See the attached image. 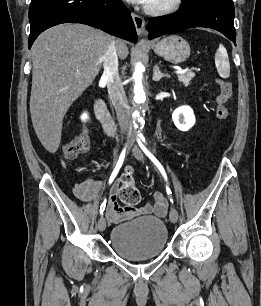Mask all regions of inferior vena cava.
Returning a JSON list of instances; mask_svg holds the SVG:
<instances>
[{
	"mask_svg": "<svg viewBox=\"0 0 261 306\" xmlns=\"http://www.w3.org/2000/svg\"><path fill=\"white\" fill-rule=\"evenodd\" d=\"M103 67L102 77L107 82L108 94L115 108L119 126L122 131H127L130 123V111L118 72V55L114 41L104 53Z\"/></svg>",
	"mask_w": 261,
	"mask_h": 306,
	"instance_id": "inferior-vena-cava-1",
	"label": "inferior vena cava"
}]
</instances>
